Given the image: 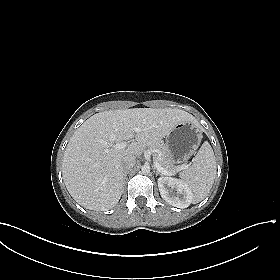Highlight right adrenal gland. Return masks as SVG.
I'll list each match as a JSON object with an SVG mask.
<instances>
[{
  "label": "right adrenal gland",
  "mask_w": 280,
  "mask_h": 280,
  "mask_svg": "<svg viewBox=\"0 0 280 280\" xmlns=\"http://www.w3.org/2000/svg\"><path fill=\"white\" fill-rule=\"evenodd\" d=\"M128 171L124 173V178H123V182H125V180L127 179V175H128Z\"/></svg>",
  "instance_id": "2a0ac1e0"
}]
</instances>
